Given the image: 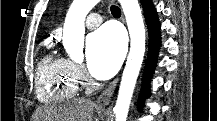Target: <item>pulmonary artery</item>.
<instances>
[{
    "label": "pulmonary artery",
    "instance_id": "obj_1",
    "mask_svg": "<svg viewBox=\"0 0 217 121\" xmlns=\"http://www.w3.org/2000/svg\"><path fill=\"white\" fill-rule=\"evenodd\" d=\"M102 22V16L99 13H91L87 16L85 24L87 28L94 29Z\"/></svg>",
    "mask_w": 217,
    "mask_h": 121
}]
</instances>
